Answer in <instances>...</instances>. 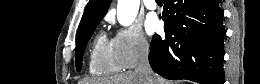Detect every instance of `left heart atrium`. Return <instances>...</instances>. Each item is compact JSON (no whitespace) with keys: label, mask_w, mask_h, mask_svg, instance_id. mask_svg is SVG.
<instances>
[{"label":"left heart atrium","mask_w":260,"mask_h":84,"mask_svg":"<svg viewBox=\"0 0 260 84\" xmlns=\"http://www.w3.org/2000/svg\"><path fill=\"white\" fill-rule=\"evenodd\" d=\"M145 27L149 34L155 32L159 27V22L157 17L155 15H149L146 20Z\"/></svg>","instance_id":"left-heart-atrium-1"}]
</instances>
